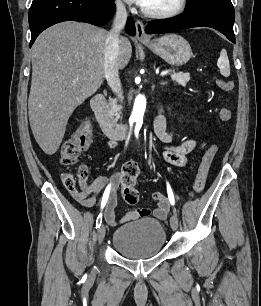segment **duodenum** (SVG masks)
Returning <instances> with one entry per match:
<instances>
[{
    "label": "duodenum",
    "instance_id": "duodenum-1",
    "mask_svg": "<svg viewBox=\"0 0 261 306\" xmlns=\"http://www.w3.org/2000/svg\"><path fill=\"white\" fill-rule=\"evenodd\" d=\"M91 108L102 131L111 139L124 138L129 127L119 122L109 111L107 101L101 94L94 96L91 100Z\"/></svg>",
    "mask_w": 261,
    "mask_h": 306
}]
</instances>
